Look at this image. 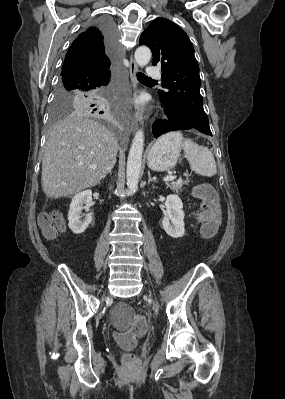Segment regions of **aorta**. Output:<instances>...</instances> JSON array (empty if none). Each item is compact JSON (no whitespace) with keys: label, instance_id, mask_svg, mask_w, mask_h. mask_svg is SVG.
Masks as SVG:
<instances>
[{"label":"aorta","instance_id":"obj_1","mask_svg":"<svg viewBox=\"0 0 285 399\" xmlns=\"http://www.w3.org/2000/svg\"><path fill=\"white\" fill-rule=\"evenodd\" d=\"M152 53L147 46H140L136 49L134 58L140 67L146 66ZM144 150V132L139 129L132 140L127 159V187L130 193H135L138 188V181L141 172L142 154Z\"/></svg>","mask_w":285,"mask_h":399}]
</instances>
